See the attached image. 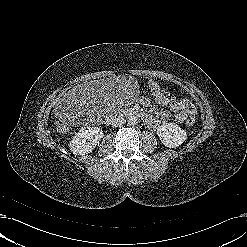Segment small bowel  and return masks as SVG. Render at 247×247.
Masks as SVG:
<instances>
[{"label": "small bowel", "mask_w": 247, "mask_h": 247, "mask_svg": "<svg viewBox=\"0 0 247 247\" xmlns=\"http://www.w3.org/2000/svg\"><path fill=\"white\" fill-rule=\"evenodd\" d=\"M150 89L158 88L162 91L161 87L154 81H150L149 83ZM148 100L146 98L143 99V103H147ZM162 106H169L172 112L164 111L161 113L162 118H170L174 117L177 122H184L190 116H196V109L195 107L187 100L176 99L172 96L169 102H160L158 103ZM147 125L150 128H155L157 126V121L153 117H148Z\"/></svg>", "instance_id": "1"}]
</instances>
